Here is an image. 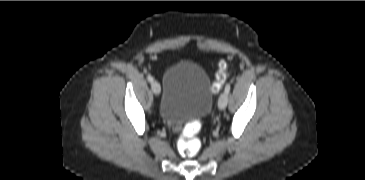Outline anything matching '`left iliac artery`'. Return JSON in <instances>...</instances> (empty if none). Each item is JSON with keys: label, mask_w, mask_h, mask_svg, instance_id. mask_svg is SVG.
Returning <instances> with one entry per match:
<instances>
[{"label": "left iliac artery", "mask_w": 365, "mask_h": 180, "mask_svg": "<svg viewBox=\"0 0 365 180\" xmlns=\"http://www.w3.org/2000/svg\"><path fill=\"white\" fill-rule=\"evenodd\" d=\"M230 88H231L230 84H227V85H226V87H225V92H226L227 94H229V92H230Z\"/></svg>", "instance_id": "1"}]
</instances>
